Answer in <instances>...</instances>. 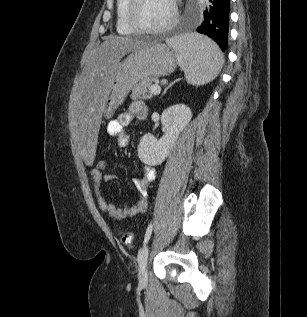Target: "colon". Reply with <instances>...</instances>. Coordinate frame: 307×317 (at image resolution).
Here are the masks:
<instances>
[{
    "label": "colon",
    "instance_id": "1",
    "mask_svg": "<svg viewBox=\"0 0 307 317\" xmlns=\"http://www.w3.org/2000/svg\"><path fill=\"white\" fill-rule=\"evenodd\" d=\"M106 168V161L103 158H97L95 160V166L94 169L97 171L103 172ZM134 240V236L130 232H124L120 235V241L122 244L126 246L132 245Z\"/></svg>",
    "mask_w": 307,
    "mask_h": 317
}]
</instances>
